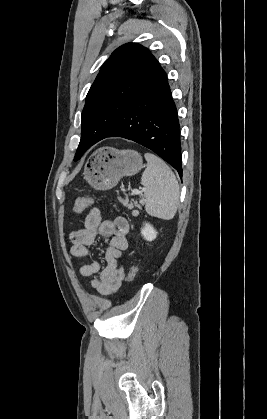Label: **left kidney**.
<instances>
[{
    "mask_svg": "<svg viewBox=\"0 0 267 419\" xmlns=\"http://www.w3.org/2000/svg\"><path fill=\"white\" fill-rule=\"evenodd\" d=\"M141 234L147 241H152L157 236L156 230L149 223L144 224V227L141 229Z\"/></svg>",
    "mask_w": 267,
    "mask_h": 419,
    "instance_id": "5707ae66",
    "label": "left kidney"
}]
</instances>
